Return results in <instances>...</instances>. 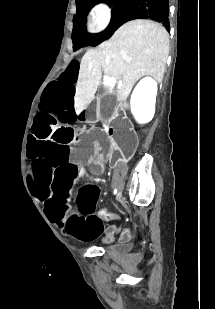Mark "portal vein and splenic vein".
Wrapping results in <instances>:
<instances>
[{
	"label": "portal vein and splenic vein",
	"instance_id": "obj_1",
	"mask_svg": "<svg viewBox=\"0 0 215 309\" xmlns=\"http://www.w3.org/2000/svg\"><path fill=\"white\" fill-rule=\"evenodd\" d=\"M104 84H106V86H115L116 78H112V76H104Z\"/></svg>",
	"mask_w": 215,
	"mask_h": 309
}]
</instances>
